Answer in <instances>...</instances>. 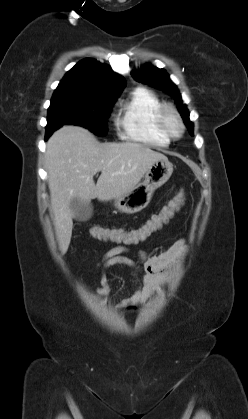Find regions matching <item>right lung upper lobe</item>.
Returning <instances> with one entry per match:
<instances>
[{"instance_id":"1","label":"right lung upper lobe","mask_w":248,"mask_h":419,"mask_svg":"<svg viewBox=\"0 0 248 419\" xmlns=\"http://www.w3.org/2000/svg\"><path fill=\"white\" fill-rule=\"evenodd\" d=\"M125 85V79L114 73L109 66L87 58L66 73L56 91L110 97L118 96Z\"/></svg>"}]
</instances>
